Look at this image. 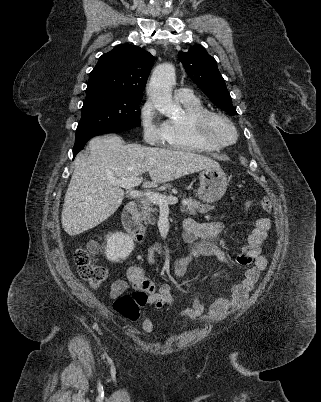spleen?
<instances>
[{
	"mask_svg": "<svg viewBox=\"0 0 321 402\" xmlns=\"http://www.w3.org/2000/svg\"><path fill=\"white\" fill-rule=\"evenodd\" d=\"M245 205H246V208H248L250 206V202H247Z\"/></svg>",
	"mask_w": 321,
	"mask_h": 402,
	"instance_id": "obj_1",
	"label": "spleen"
}]
</instances>
